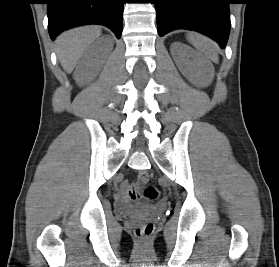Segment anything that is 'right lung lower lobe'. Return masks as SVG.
<instances>
[{
	"mask_svg": "<svg viewBox=\"0 0 279 267\" xmlns=\"http://www.w3.org/2000/svg\"><path fill=\"white\" fill-rule=\"evenodd\" d=\"M48 29L51 39L69 28L102 24L119 39L122 33L124 0H47Z\"/></svg>",
	"mask_w": 279,
	"mask_h": 267,
	"instance_id": "98d812e1",
	"label": "right lung lower lobe"
}]
</instances>
